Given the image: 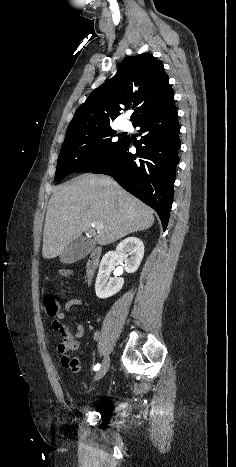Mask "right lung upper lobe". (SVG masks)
Instances as JSON below:
<instances>
[{
  "instance_id": "right-lung-upper-lobe-1",
  "label": "right lung upper lobe",
  "mask_w": 236,
  "mask_h": 467,
  "mask_svg": "<svg viewBox=\"0 0 236 467\" xmlns=\"http://www.w3.org/2000/svg\"><path fill=\"white\" fill-rule=\"evenodd\" d=\"M163 64L151 53L122 61L116 75L99 86L76 111L67 134L110 127L122 106H136L133 124L174 98Z\"/></svg>"
}]
</instances>
